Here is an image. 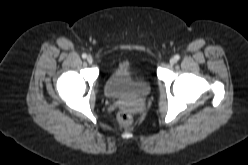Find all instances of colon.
<instances>
[{
	"label": "colon",
	"mask_w": 248,
	"mask_h": 165,
	"mask_svg": "<svg viewBox=\"0 0 248 165\" xmlns=\"http://www.w3.org/2000/svg\"><path fill=\"white\" fill-rule=\"evenodd\" d=\"M117 121L121 126H128L132 122V115L127 111H120L117 115Z\"/></svg>",
	"instance_id": "1"
}]
</instances>
